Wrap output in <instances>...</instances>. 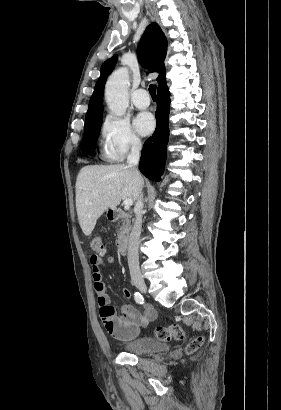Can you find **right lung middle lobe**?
I'll use <instances>...</instances> for the list:
<instances>
[{"instance_id": "obj_1", "label": "right lung middle lobe", "mask_w": 281, "mask_h": 410, "mask_svg": "<svg viewBox=\"0 0 281 410\" xmlns=\"http://www.w3.org/2000/svg\"><path fill=\"white\" fill-rule=\"evenodd\" d=\"M102 124V116L85 122L84 136L82 140V151L85 156L92 155L97 139L99 137L100 128Z\"/></svg>"}]
</instances>
